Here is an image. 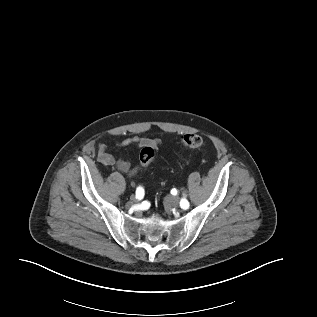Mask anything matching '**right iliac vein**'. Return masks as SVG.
<instances>
[{"label": "right iliac vein", "instance_id": "1", "mask_svg": "<svg viewBox=\"0 0 317 317\" xmlns=\"http://www.w3.org/2000/svg\"><path fill=\"white\" fill-rule=\"evenodd\" d=\"M130 199H131V202H137L138 201L136 196H131Z\"/></svg>", "mask_w": 317, "mask_h": 317}]
</instances>
